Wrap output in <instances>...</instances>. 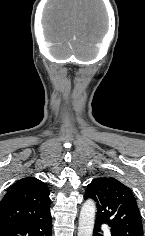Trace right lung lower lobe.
<instances>
[{
  "label": "right lung lower lobe",
  "instance_id": "98d812e1",
  "mask_svg": "<svg viewBox=\"0 0 145 236\" xmlns=\"http://www.w3.org/2000/svg\"><path fill=\"white\" fill-rule=\"evenodd\" d=\"M0 236H52L51 214L0 228Z\"/></svg>",
  "mask_w": 145,
  "mask_h": 236
}]
</instances>
